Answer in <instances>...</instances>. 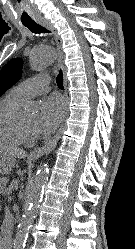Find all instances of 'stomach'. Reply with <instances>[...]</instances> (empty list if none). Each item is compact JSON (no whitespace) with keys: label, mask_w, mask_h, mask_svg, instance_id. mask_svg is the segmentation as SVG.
<instances>
[{"label":"stomach","mask_w":135,"mask_h":249,"mask_svg":"<svg viewBox=\"0 0 135 249\" xmlns=\"http://www.w3.org/2000/svg\"><path fill=\"white\" fill-rule=\"evenodd\" d=\"M15 165L14 157L0 151V174H9Z\"/></svg>","instance_id":"stomach-1"}]
</instances>
